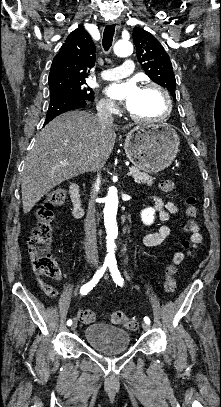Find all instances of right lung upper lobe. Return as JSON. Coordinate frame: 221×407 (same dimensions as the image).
Instances as JSON below:
<instances>
[{
  "label": "right lung upper lobe",
  "instance_id": "1",
  "mask_svg": "<svg viewBox=\"0 0 221 407\" xmlns=\"http://www.w3.org/2000/svg\"><path fill=\"white\" fill-rule=\"evenodd\" d=\"M96 48L84 28L69 34L59 53L54 57L49 74L50 90L85 82L95 64Z\"/></svg>",
  "mask_w": 221,
  "mask_h": 407
}]
</instances>
